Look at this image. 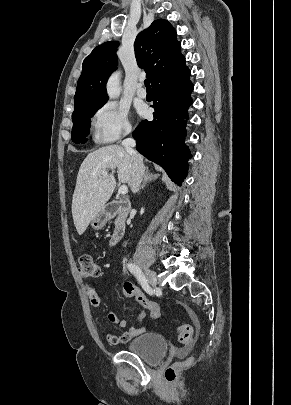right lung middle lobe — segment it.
Returning a JSON list of instances; mask_svg holds the SVG:
<instances>
[{
	"instance_id": "obj_1",
	"label": "right lung middle lobe",
	"mask_w": 291,
	"mask_h": 405,
	"mask_svg": "<svg viewBox=\"0 0 291 405\" xmlns=\"http://www.w3.org/2000/svg\"><path fill=\"white\" fill-rule=\"evenodd\" d=\"M103 105L104 104L91 106L73 113L72 115L73 127L71 133L73 142L75 143L86 142L85 137L90 132V123H91L90 118L93 117L95 112Z\"/></svg>"
}]
</instances>
